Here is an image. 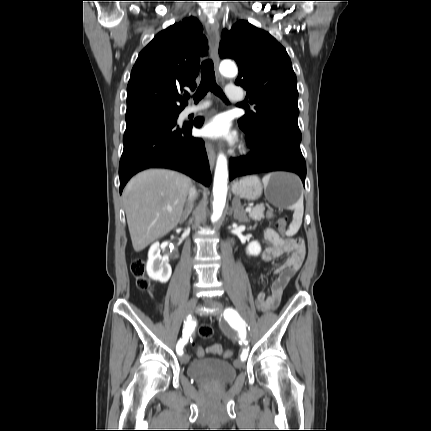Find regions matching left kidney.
<instances>
[{"label":"left kidney","instance_id":"left-kidney-1","mask_svg":"<svg viewBox=\"0 0 431 431\" xmlns=\"http://www.w3.org/2000/svg\"><path fill=\"white\" fill-rule=\"evenodd\" d=\"M246 252L249 255L257 256L261 252V246L257 241H253L247 246Z\"/></svg>","mask_w":431,"mask_h":431}]
</instances>
